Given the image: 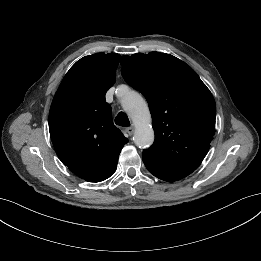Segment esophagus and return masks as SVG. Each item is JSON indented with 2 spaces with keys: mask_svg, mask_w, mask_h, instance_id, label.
Listing matches in <instances>:
<instances>
[{
  "mask_svg": "<svg viewBox=\"0 0 261 261\" xmlns=\"http://www.w3.org/2000/svg\"><path fill=\"white\" fill-rule=\"evenodd\" d=\"M126 132L128 135L131 136L134 133V127L133 126L127 127Z\"/></svg>",
  "mask_w": 261,
  "mask_h": 261,
  "instance_id": "obj_1",
  "label": "esophagus"
}]
</instances>
